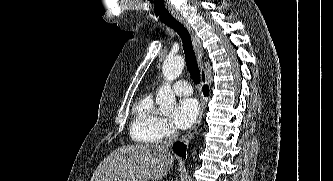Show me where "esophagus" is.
Segmentation results:
<instances>
[{"instance_id": "34e87169", "label": "esophagus", "mask_w": 333, "mask_h": 181, "mask_svg": "<svg viewBox=\"0 0 333 181\" xmlns=\"http://www.w3.org/2000/svg\"><path fill=\"white\" fill-rule=\"evenodd\" d=\"M178 21L181 24L184 25V27L188 30V32H189V34L192 38L193 45H194V48H195V52H196L197 59H198V63H199V66H200L201 86H204L207 83V75H206L205 68L203 67V64H202L203 49H202V46H201L200 39L198 38L194 28L191 26V24L185 18L179 17ZM206 103H207L206 98L203 97L202 101H201L200 113H199L198 119L195 122V124L192 126V128L185 135H183L181 137L180 140L182 142H188L193 137V135L195 134L196 130L198 129V127H199V125L202 121V117H203L204 111L206 109Z\"/></svg>"}]
</instances>
